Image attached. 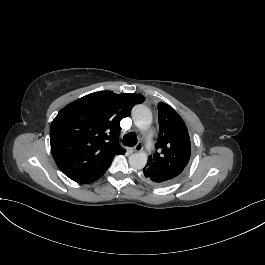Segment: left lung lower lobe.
Masks as SVG:
<instances>
[{
	"label": "left lung lower lobe",
	"mask_w": 265,
	"mask_h": 265,
	"mask_svg": "<svg viewBox=\"0 0 265 265\" xmlns=\"http://www.w3.org/2000/svg\"><path fill=\"white\" fill-rule=\"evenodd\" d=\"M143 178H144V180H145L146 182L151 183V182H149L144 176H143ZM151 184H152V183H151Z\"/></svg>",
	"instance_id": "0a47b994"
}]
</instances>
